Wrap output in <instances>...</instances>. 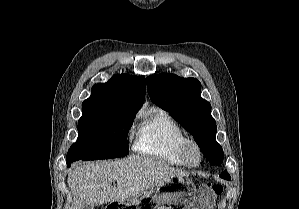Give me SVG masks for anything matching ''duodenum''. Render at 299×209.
I'll return each instance as SVG.
<instances>
[{
    "label": "duodenum",
    "instance_id": "1",
    "mask_svg": "<svg viewBox=\"0 0 299 209\" xmlns=\"http://www.w3.org/2000/svg\"><path fill=\"white\" fill-rule=\"evenodd\" d=\"M108 209H113L112 207H109Z\"/></svg>",
    "mask_w": 299,
    "mask_h": 209
}]
</instances>
